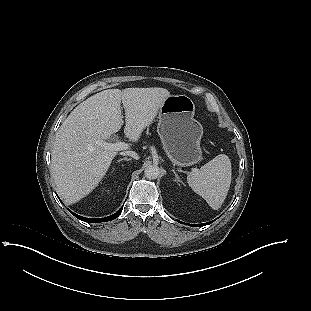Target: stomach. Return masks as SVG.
I'll return each instance as SVG.
<instances>
[{
	"mask_svg": "<svg viewBox=\"0 0 311 311\" xmlns=\"http://www.w3.org/2000/svg\"><path fill=\"white\" fill-rule=\"evenodd\" d=\"M195 104L186 95H170L158 110L157 132L174 165L186 167L200 161L201 124L194 118Z\"/></svg>",
	"mask_w": 311,
	"mask_h": 311,
	"instance_id": "obj_1",
	"label": "stomach"
}]
</instances>
